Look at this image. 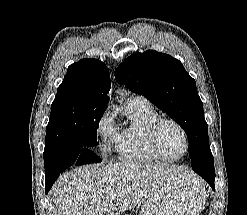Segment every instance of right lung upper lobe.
Returning a JSON list of instances; mask_svg holds the SVG:
<instances>
[{
	"label": "right lung upper lobe",
	"instance_id": "right-lung-upper-lobe-1",
	"mask_svg": "<svg viewBox=\"0 0 247 215\" xmlns=\"http://www.w3.org/2000/svg\"><path fill=\"white\" fill-rule=\"evenodd\" d=\"M111 87L110 74L106 65L97 59H82L68 67L57 92L71 91L77 97L107 106L106 95Z\"/></svg>",
	"mask_w": 247,
	"mask_h": 215
}]
</instances>
